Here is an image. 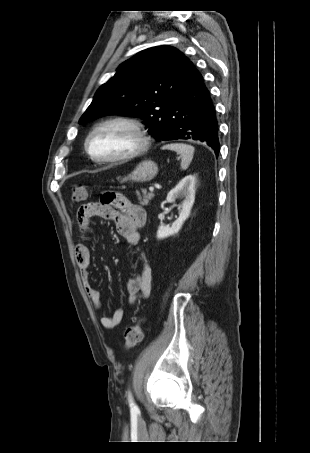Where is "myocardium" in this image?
I'll return each mask as SVG.
<instances>
[{
    "mask_svg": "<svg viewBox=\"0 0 310 453\" xmlns=\"http://www.w3.org/2000/svg\"><path fill=\"white\" fill-rule=\"evenodd\" d=\"M113 124H122V125H126L129 128H131L138 141L137 147L134 150H132L126 154L116 156V157H100V156L95 155L90 148L91 138L99 130H101L104 127H107L109 125H113ZM149 145H150V140H149V137H148L143 125L134 118L122 117V116L108 118V119L103 120V121L99 122L98 124H96L92 128V130L88 133V135L85 139V143H84L85 151L87 152L89 157L93 161L98 162V163H103V164L126 162L131 159H134V158L140 156L141 154H143L145 151H147L149 148Z\"/></svg>",
    "mask_w": 310,
    "mask_h": 453,
    "instance_id": "1",
    "label": "myocardium"
}]
</instances>
